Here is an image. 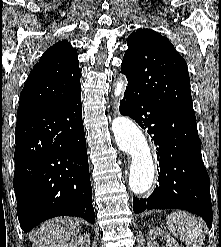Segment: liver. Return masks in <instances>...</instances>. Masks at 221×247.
<instances>
[{
    "instance_id": "6515ba94",
    "label": "liver",
    "mask_w": 221,
    "mask_h": 247,
    "mask_svg": "<svg viewBox=\"0 0 221 247\" xmlns=\"http://www.w3.org/2000/svg\"><path fill=\"white\" fill-rule=\"evenodd\" d=\"M79 232L78 219L61 217L44 222L29 237L32 247H64Z\"/></svg>"
}]
</instances>
